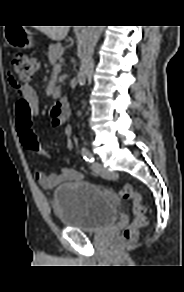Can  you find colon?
I'll use <instances>...</instances> for the list:
<instances>
[{
	"mask_svg": "<svg viewBox=\"0 0 184 292\" xmlns=\"http://www.w3.org/2000/svg\"><path fill=\"white\" fill-rule=\"evenodd\" d=\"M39 67L38 59L24 54H16L10 62L12 77L11 83L17 91L16 124L19 128V138L24 148L34 155L51 159V155L39 143L33 128V122L40 113V99L37 92L29 86ZM123 200L131 201L133 205V220L124 229L122 241L133 243L139 230L146 225L145 207L142 204L140 193L130 185H124L119 190Z\"/></svg>",
	"mask_w": 184,
	"mask_h": 292,
	"instance_id": "colon-1",
	"label": "colon"
}]
</instances>
